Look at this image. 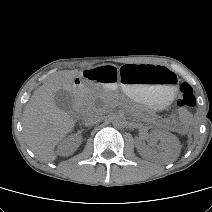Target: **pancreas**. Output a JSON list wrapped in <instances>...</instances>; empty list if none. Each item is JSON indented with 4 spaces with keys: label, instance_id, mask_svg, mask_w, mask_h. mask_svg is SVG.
Segmentation results:
<instances>
[{
    "label": "pancreas",
    "instance_id": "1",
    "mask_svg": "<svg viewBox=\"0 0 212 212\" xmlns=\"http://www.w3.org/2000/svg\"><path fill=\"white\" fill-rule=\"evenodd\" d=\"M97 98H101L104 102V110L113 108L118 105H123L127 107L128 109L131 110L133 115L135 116L136 119L139 121L146 120L148 118V115L144 113L143 109L130 105L126 100L119 98L118 95L112 94V93H103V94H98V93H88L87 95L84 96L82 99V106L84 109H90L94 106V101Z\"/></svg>",
    "mask_w": 212,
    "mask_h": 212
}]
</instances>
